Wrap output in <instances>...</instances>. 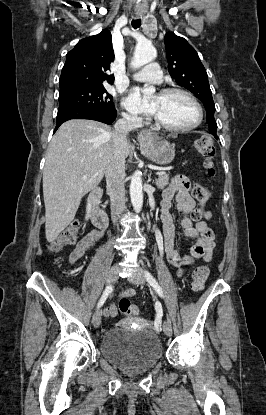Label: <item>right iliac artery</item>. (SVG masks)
<instances>
[{
	"label": "right iliac artery",
	"instance_id": "82829eb1",
	"mask_svg": "<svg viewBox=\"0 0 266 415\" xmlns=\"http://www.w3.org/2000/svg\"><path fill=\"white\" fill-rule=\"evenodd\" d=\"M112 290H113L112 285H109L105 288V290H104V292H103V294H102V296H101V298L98 302L97 308H100L104 304V302L106 301L108 295L112 292Z\"/></svg>",
	"mask_w": 266,
	"mask_h": 415
}]
</instances>
